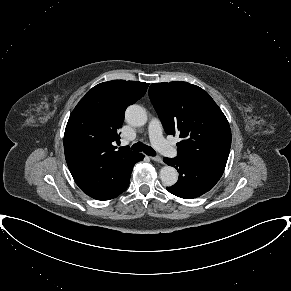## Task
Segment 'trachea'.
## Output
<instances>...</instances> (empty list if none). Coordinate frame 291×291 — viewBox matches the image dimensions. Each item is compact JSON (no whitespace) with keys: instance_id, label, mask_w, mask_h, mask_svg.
I'll list each match as a JSON object with an SVG mask.
<instances>
[{"instance_id":"1","label":"trachea","mask_w":291,"mask_h":291,"mask_svg":"<svg viewBox=\"0 0 291 291\" xmlns=\"http://www.w3.org/2000/svg\"><path fill=\"white\" fill-rule=\"evenodd\" d=\"M131 149L139 152L143 151L145 154L149 156H156V152L154 151V149L151 148L150 146L144 145L142 142H137L133 144Z\"/></svg>"}]
</instances>
